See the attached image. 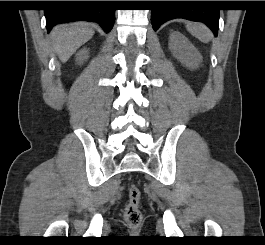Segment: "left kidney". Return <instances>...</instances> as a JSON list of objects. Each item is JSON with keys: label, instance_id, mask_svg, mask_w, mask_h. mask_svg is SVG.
I'll use <instances>...</instances> for the list:
<instances>
[{"label": "left kidney", "instance_id": "5707ae66", "mask_svg": "<svg viewBox=\"0 0 265 245\" xmlns=\"http://www.w3.org/2000/svg\"><path fill=\"white\" fill-rule=\"evenodd\" d=\"M169 49L173 56L188 68H197L202 60V56L195 46L178 31L170 34Z\"/></svg>", "mask_w": 265, "mask_h": 245}]
</instances>
